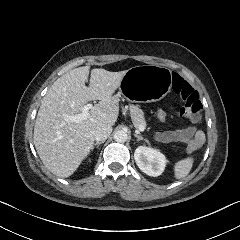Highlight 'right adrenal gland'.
I'll return each instance as SVG.
<instances>
[{
  "instance_id": "1",
  "label": "right adrenal gland",
  "mask_w": 240,
  "mask_h": 240,
  "mask_svg": "<svg viewBox=\"0 0 240 240\" xmlns=\"http://www.w3.org/2000/svg\"><path fill=\"white\" fill-rule=\"evenodd\" d=\"M105 141H99V142H96V143H93L92 146H91V149H93L95 146L99 147L101 143H104Z\"/></svg>"
}]
</instances>
